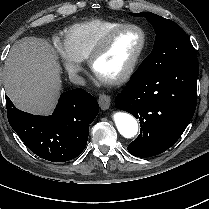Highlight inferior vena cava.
<instances>
[{"label":"inferior vena cava","mask_w":209,"mask_h":209,"mask_svg":"<svg viewBox=\"0 0 209 209\" xmlns=\"http://www.w3.org/2000/svg\"><path fill=\"white\" fill-rule=\"evenodd\" d=\"M69 79L72 83L77 84V85H82L84 86L86 84L85 79L77 74H69Z\"/></svg>","instance_id":"inferior-vena-cava-1"}]
</instances>
